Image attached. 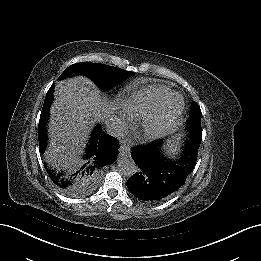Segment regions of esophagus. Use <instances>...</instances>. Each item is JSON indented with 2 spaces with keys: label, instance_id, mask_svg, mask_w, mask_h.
Returning <instances> with one entry per match:
<instances>
[{
  "label": "esophagus",
  "instance_id": "34e87169",
  "mask_svg": "<svg viewBox=\"0 0 261 261\" xmlns=\"http://www.w3.org/2000/svg\"><path fill=\"white\" fill-rule=\"evenodd\" d=\"M121 146H120V154L121 156H125L128 157L129 153H130V148L128 143L125 140H121Z\"/></svg>",
  "mask_w": 261,
  "mask_h": 261
}]
</instances>
